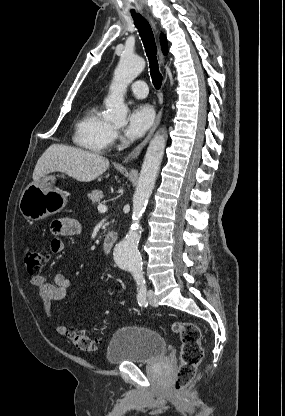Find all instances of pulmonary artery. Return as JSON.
<instances>
[{"mask_svg": "<svg viewBox=\"0 0 285 416\" xmlns=\"http://www.w3.org/2000/svg\"><path fill=\"white\" fill-rule=\"evenodd\" d=\"M145 85L146 83L144 81L137 80L130 85L129 89L136 97L144 98L148 94V89L146 87H142Z\"/></svg>", "mask_w": 285, "mask_h": 416, "instance_id": "1", "label": "pulmonary artery"}]
</instances>
